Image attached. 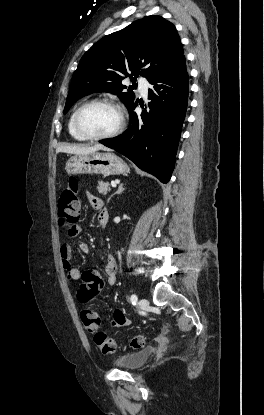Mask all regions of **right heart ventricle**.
<instances>
[{"instance_id":"e07e8e85","label":"right heart ventricle","mask_w":264,"mask_h":415,"mask_svg":"<svg viewBox=\"0 0 264 415\" xmlns=\"http://www.w3.org/2000/svg\"><path fill=\"white\" fill-rule=\"evenodd\" d=\"M78 108H76L70 115L69 120H68V131L69 134L77 141L79 142H84L86 141V139H84L83 137H81L75 130L74 125H73V119H74V115L75 112Z\"/></svg>"}]
</instances>
